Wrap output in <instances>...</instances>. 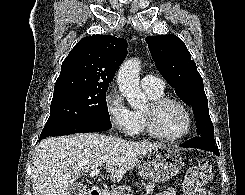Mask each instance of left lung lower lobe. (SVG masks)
I'll list each match as a JSON object with an SVG mask.
<instances>
[{
    "label": "left lung lower lobe",
    "mask_w": 245,
    "mask_h": 195,
    "mask_svg": "<svg viewBox=\"0 0 245 195\" xmlns=\"http://www.w3.org/2000/svg\"><path fill=\"white\" fill-rule=\"evenodd\" d=\"M180 146L181 147H191V148H199V149H203V150H208L210 152H213L217 156L220 155L219 150L216 147L215 143H212L208 139L200 137V136L194 137V138L186 141L185 143L181 144Z\"/></svg>",
    "instance_id": "0a47b994"
}]
</instances>
